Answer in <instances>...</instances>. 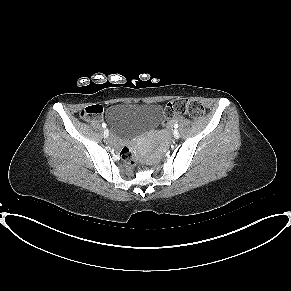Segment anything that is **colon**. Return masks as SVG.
Here are the masks:
<instances>
[{
	"instance_id": "colon-1",
	"label": "colon",
	"mask_w": 291,
	"mask_h": 291,
	"mask_svg": "<svg viewBox=\"0 0 291 291\" xmlns=\"http://www.w3.org/2000/svg\"><path fill=\"white\" fill-rule=\"evenodd\" d=\"M102 111L100 105H90L81 110L80 116L89 120L100 119ZM165 115L166 118H170L174 115H188L191 118H200L204 115V107L198 100L179 98L170 101L165 106ZM164 125H167V121H165ZM120 157L123 162L133 164L134 154L129 147L125 146L122 148Z\"/></svg>"
}]
</instances>
